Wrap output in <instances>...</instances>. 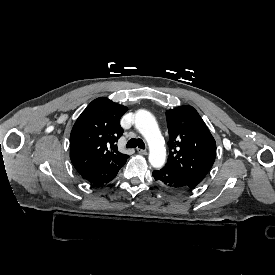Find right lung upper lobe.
Instances as JSON below:
<instances>
[{"label": "right lung upper lobe", "instance_id": "right-lung-upper-lobe-1", "mask_svg": "<svg viewBox=\"0 0 275 275\" xmlns=\"http://www.w3.org/2000/svg\"><path fill=\"white\" fill-rule=\"evenodd\" d=\"M126 111L127 107L101 97L81 113L70 134V159L78 172L126 162L129 156L116 145L123 134L119 121Z\"/></svg>", "mask_w": 275, "mask_h": 275}]
</instances>
